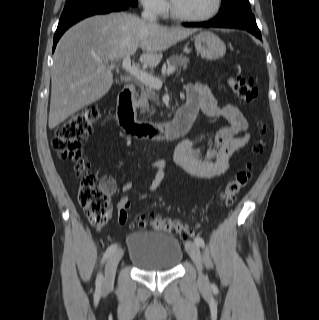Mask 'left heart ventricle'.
<instances>
[{
	"label": "left heart ventricle",
	"mask_w": 319,
	"mask_h": 320,
	"mask_svg": "<svg viewBox=\"0 0 319 320\" xmlns=\"http://www.w3.org/2000/svg\"><path fill=\"white\" fill-rule=\"evenodd\" d=\"M215 0H173L175 10L186 16H200L209 13Z\"/></svg>",
	"instance_id": "1"
}]
</instances>
